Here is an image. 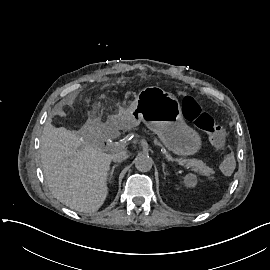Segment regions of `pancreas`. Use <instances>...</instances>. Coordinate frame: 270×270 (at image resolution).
<instances>
[{"label": "pancreas", "instance_id": "cf45deb5", "mask_svg": "<svg viewBox=\"0 0 270 270\" xmlns=\"http://www.w3.org/2000/svg\"><path fill=\"white\" fill-rule=\"evenodd\" d=\"M154 143L156 145L161 146L160 142H158L157 139H154ZM184 162L187 167H192L193 171L199 172L201 175L210 176L211 174H214V170L210 167H208L203 161L197 160L195 158L193 159H178L177 160ZM185 165V166H186ZM214 177H210V179H213Z\"/></svg>", "mask_w": 270, "mask_h": 270}]
</instances>
